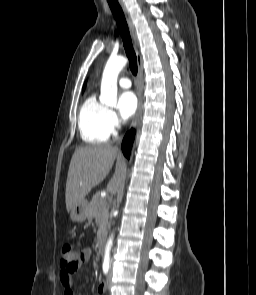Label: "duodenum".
<instances>
[{
    "instance_id": "obj_1",
    "label": "duodenum",
    "mask_w": 256,
    "mask_h": 295,
    "mask_svg": "<svg viewBox=\"0 0 256 295\" xmlns=\"http://www.w3.org/2000/svg\"><path fill=\"white\" fill-rule=\"evenodd\" d=\"M97 247H98V251L103 254L104 251H105V240H104V237L101 236L98 240V243H97Z\"/></svg>"
}]
</instances>
